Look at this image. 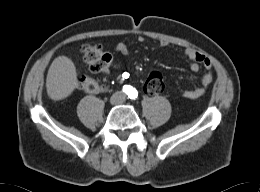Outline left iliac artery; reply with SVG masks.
<instances>
[{"label": "left iliac artery", "mask_w": 260, "mask_h": 192, "mask_svg": "<svg viewBox=\"0 0 260 192\" xmlns=\"http://www.w3.org/2000/svg\"><path fill=\"white\" fill-rule=\"evenodd\" d=\"M138 97V92L136 89H131L130 93H129V98L135 100Z\"/></svg>", "instance_id": "left-iliac-artery-1"}]
</instances>
